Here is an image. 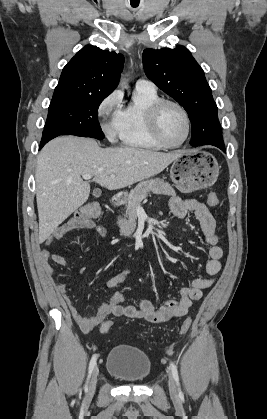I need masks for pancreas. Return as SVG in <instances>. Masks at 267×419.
Returning <instances> with one entry per match:
<instances>
[{
  "label": "pancreas",
  "instance_id": "pancreas-1",
  "mask_svg": "<svg viewBox=\"0 0 267 419\" xmlns=\"http://www.w3.org/2000/svg\"><path fill=\"white\" fill-rule=\"evenodd\" d=\"M154 192L167 196H175V190L170 184L161 178H154L140 182L133 190L130 191L126 201V215L118 217L117 224L122 235H131L136 228L137 207L141 200L144 199L148 193Z\"/></svg>",
  "mask_w": 267,
  "mask_h": 419
}]
</instances>
